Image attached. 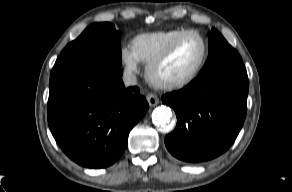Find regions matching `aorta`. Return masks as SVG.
Here are the masks:
<instances>
[{"instance_id": "aorta-1", "label": "aorta", "mask_w": 292, "mask_h": 192, "mask_svg": "<svg viewBox=\"0 0 292 192\" xmlns=\"http://www.w3.org/2000/svg\"><path fill=\"white\" fill-rule=\"evenodd\" d=\"M172 111L169 107L160 106L157 107L152 113L153 123L162 132H169L172 130L173 125L171 124Z\"/></svg>"}]
</instances>
